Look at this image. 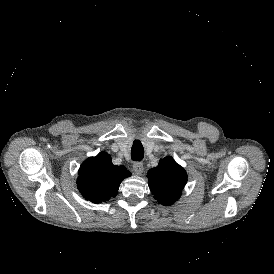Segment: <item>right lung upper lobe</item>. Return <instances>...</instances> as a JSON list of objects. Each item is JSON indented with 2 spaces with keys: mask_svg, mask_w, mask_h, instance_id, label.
Listing matches in <instances>:
<instances>
[{
  "mask_svg": "<svg viewBox=\"0 0 274 274\" xmlns=\"http://www.w3.org/2000/svg\"><path fill=\"white\" fill-rule=\"evenodd\" d=\"M78 175L77 186L83 197L102 203L117 195L120 183L131 173L124 166L113 165L110 155L101 152L85 160Z\"/></svg>",
  "mask_w": 274,
  "mask_h": 274,
  "instance_id": "1",
  "label": "right lung upper lobe"
}]
</instances>
